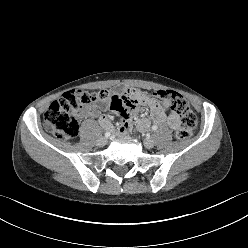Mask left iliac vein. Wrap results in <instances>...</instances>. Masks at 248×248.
<instances>
[{"instance_id": "left-iliac-vein-1", "label": "left iliac vein", "mask_w": 248, "mask_h": 248, "mask_svg": "<svg viewBox=\"0 0 248 248\" xmlns=\"http://www.w3.org/2000/svg\"><path fill=\"white\" fill-rule=\"evenodd\" d=\"M154 145H155V142H154L153 139H151V138H146V139L144 140V146H145L146 148L151 149V148L154 147Z\"/></svg>"}]
</instances>
